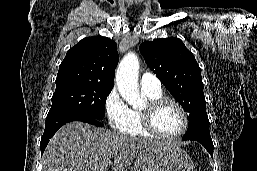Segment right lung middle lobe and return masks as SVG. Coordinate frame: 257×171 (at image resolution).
I'll return each mask as SVG.
<instances>
[{
    "mask_svg": "<svg viewBox=\"0 0 257 171\" xmlns=\"http://www.w3.org/2000/svg\"><path fill=\"white\" fill-rule=\"evenodd\" d=\"M113 87L92 84H68L56 87L47 116L77 112L103 119L106 98Z\"/></svg>",
    "mask_w": 257,
    "mask_h": 171,
    "instance_id": "right-lung-middle-lobe-1",
    "label": "right lung middle lobe"
}]
</instances>
